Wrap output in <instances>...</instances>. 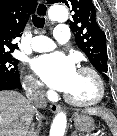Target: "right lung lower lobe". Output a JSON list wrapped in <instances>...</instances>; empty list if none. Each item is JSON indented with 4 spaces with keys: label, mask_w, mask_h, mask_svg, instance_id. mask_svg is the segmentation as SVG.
<instances>
[{
    "label": "right lung lower lobe",
    "mask_w": 117,
    "mask_h": 136,
    "mask_svg": "<svg viewBox=\"0 0 117 136\" xmlns=\"http://www.w3.org/2000/svg\"><path fill=\"white\" fill-rule=\"evenodd\" d=\"M8 89H21L19 76L0 75V91Z\"/></svg>",
    "instance_id": "obj_1"
}]
</instances>
